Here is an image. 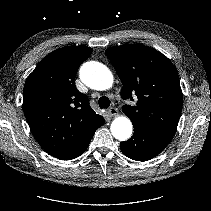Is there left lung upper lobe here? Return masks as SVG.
I'll use <instances>...</instances> for the list:
<instances>
[{
  "label": "left lung upper lobe",
  "mask_w": 211,
  "mask_h": 211,
  "mask_svg": "<svg viewBox=\"0 0 211 211\" xmlns=\"http://www.w3.org/2000/svg\"><path fill=\"white\" fill-rule=\"evenodd\" d=\"M105 52L122 81V98L137 96L136 105L122 107L133 126L176 131L183 95L172 62L159 51L135 44Z\"/></svg>",
  "instance_id": "left-lung-upper-lobe-1"
}]
</instances>
